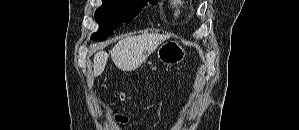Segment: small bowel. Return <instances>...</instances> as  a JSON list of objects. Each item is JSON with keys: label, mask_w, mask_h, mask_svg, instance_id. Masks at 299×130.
I'll use <instances>...</instances> for the list:
<instances>
[{"label": "small bowel", "mask_w": 299, "mask_h": 130, "mask_svg": "<svg viewBox=\"0 0 299 130\" xmlns=\"http://www.w3.org/2000/svg\"><path fill=\"white\" fill-rule=\"evenodd\" d=\"M115 119H116L118 122H120V123H125V122L127 121V119H126L124 116L120 115V114H116V115H115Z\"/></svg>", "instance_id": "1"}]
</instances>
